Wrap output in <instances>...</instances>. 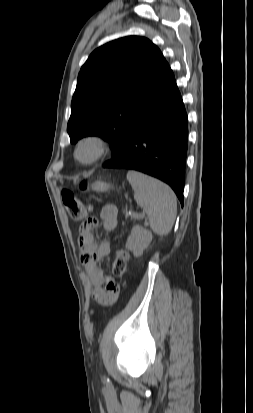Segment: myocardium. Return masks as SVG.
<instances>
[{
    "label": "myocardium",
    "instance_id": "1",
    "mask_svg": "<svg viewBox=\"0 0 253 413\" xmlns=\"http://www.w3.org/2000/svg\"><path fill=\"white\" fill-rule=\"evenodd\" d=\"M89 150L88 156H83V151ZM108 150L105 137L98 134H88L81 137L74 148V158L82 165H91L99 161Z\"/></svg>",
    "mask_w": 253,
    "mask_h": 413
}]
</instances>
